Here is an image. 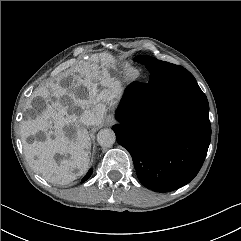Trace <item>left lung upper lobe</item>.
I'll use <instances>...</instances> for the list:
<instances>
[{
  "label": "left lung upper lobe",
  "mask_w": 241,
  "mask_h": 241,
  "mask_svg": "<svg viewBox=\"0 0 241 241\" xmlns=\"http://www.w3.org/2000/svg\"><path fill=\"white\" fill-rule=\"evenodd\" d=\"M134 60L145 65L150 74L153 72L162 74L168 82L171 94H179L189 88L198 86L194 76L181 66L146 55L137 56Z\"/></svg>",
  "instance_id": "1"
}]
</instances>
